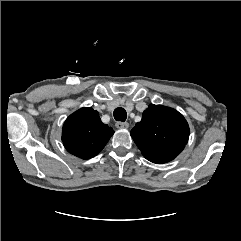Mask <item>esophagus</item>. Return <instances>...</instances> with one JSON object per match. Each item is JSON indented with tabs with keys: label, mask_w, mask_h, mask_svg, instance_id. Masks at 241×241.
<instances>
[{
	"label": "esophagus",
	"mask_w": 241,
	"mask_h": 241,
	"mask_svg": "<svg viewBox=\"0 0 241 241\" xmlns=\"http://www.w3.org/2000/svg\"><path fill=\"white\" fill-rule=\"evenodd\" d=\"M116 127L118 129H126L129 127V124L127 122H117Z\"/></svg>",
	"instance_id": "esophagus-1"
}]
</instances>
